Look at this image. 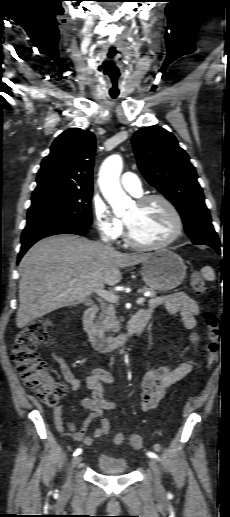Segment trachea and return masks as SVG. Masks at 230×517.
<instances>
[{
  "label": "trachea",
  "mask_w": 230,
  "mask_h": 517,
  "mask_svg": "<svg viewBox=\"0 0 230 517\" xmlns=\"http://www.w3.org/2000/svg\"><path fill=\"white\" fill-rule=\"evenodd\" d=\"M112 98H116L117 96L116 95H111Z\"/></svg>",
  "instance_id": "3493384b"
}]
</instances>
